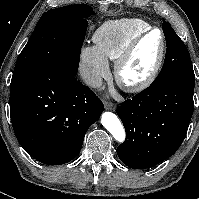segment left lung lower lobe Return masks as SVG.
Masks as SVG:
<instances>
[{
	"instance_id": "0a47b994",
	"label": "left lung lower lobe",
	"mask_w": 199,
	"mask_h": 199,
	"mask_svg": "<svg viewBox=\"0 0 199 199\" xmlns=\"http://www.w3.org/2000/svg\"><path fill=\"white\" fill-rule=\"evenodd\" d=\"M195 79H173L150 85L117 108L126 140L118 157L130 168L153 167L182 144L194 110Z\"/></svg>"
}]
</instances>
